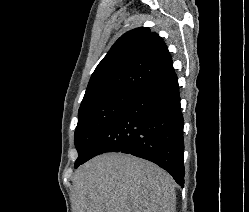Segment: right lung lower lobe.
<instances>
[{"label":"right lung lower lobe","mask_w":249,"mask_h":212,"mask_svg":"<svg viewBox=\"0 0 249 212\" xmlns=\"http://www.w3.org/2000/svg\"><path fill=\"white\" fill-rule=\"evenodd\" d=\"M105 152L149 160L184 186L183 116L177 75L140 93L103 131L85 162Z\"/></svg>","instance_id":"1"}]
</instances>
